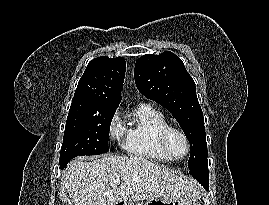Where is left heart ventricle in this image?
Returning <instances> with one entry per match:
<instances>
[{
    "instance_id": "left-heart-ventricle-1",
    "label": "left heart ventricle",
    "mask_w": 269,
    "mask_h": 205,
    "mask_svg": "<svg viewBox=\"0 0 269 205\" xmlns=\"http://www.w3.org/2000/svg\"><path fill=\"white\" fill-rule=\"evenodd\" d=\"M169 148L177 157L184 156L187 150L184 138L176 132L172 133L169 137Z\"/></svg>"
}]
</instances>
